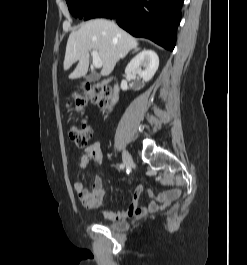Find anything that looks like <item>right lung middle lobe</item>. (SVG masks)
I'll return each mask as SVG.
<instances>
[{
	"label": "right lung middle lobe",
	"instance_id": "dd1d6c3e",
	"mask_svg": "<svg viewBox=\"0 0 247 265\" xmlns=\"http://www.w3.org/2000/svg\"><path fill=\"white\" fill-rule=\"evenodd\" d=\"M100 1L102 0H66L70 13L80 19Z\"/></svg>",
	"mask_w": 247,
	"mask_h": 265
}]
</instances>
